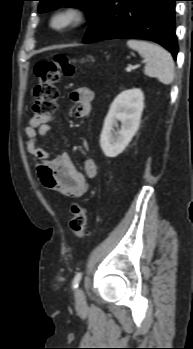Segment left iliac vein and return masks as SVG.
Returning <instances> with one entry per match:
<instances>
[{
	"label": "left iliac vein",
	"instance_id": "4c4485c4",
	"mask_svg": "<svg viewBox=\"0 0 193 349\" xmlns=\"http://www.w3.org/2000/svg\"><path fill=\"white\" fill-rule=\"evenodd\" d=\"M75 302H76V306L78 308H84L86 306L85 295H84V292H83V290L81 288H78L76 290Z\"/></svg>",
	"mask_w": 193,
	"mask_h": 349
}]
</instances>
